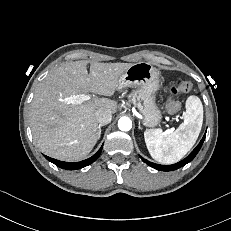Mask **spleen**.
Listing matches in <instances>:
<instances>
[{"label":"spleen","instance_id":"1","mask_svg":"<svg viewBox=\"0 0 231 231\" xmlns=\"http://www.w3.org/2000/svg\"><path fill=\"white\" fill-rule=\"evenodd\" d=\"M183 122L173 132L161 129L144 132L147 149L153 159L162 164H173L183 158L195 144L203 123V105L197 96H189Z\"/></svg>","mask_w":231,"mask_h":231}]
</instances>
